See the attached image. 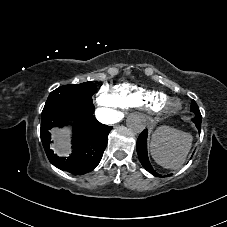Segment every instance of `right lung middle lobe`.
Returning a JSON list of instances; mask_svg holds the SVG:
<instances>
[{"label": "right lung middle lobe", "mask_w": 227, "mask_h": 227, "mask_svg": "<svg viewBox=\"0 0 227 227\" xmlns=\"http://www.w3.org/2000/svg\"><path fill=\"white\" fill-rule=\"evenodd\" d=\"M96 90L97 87L92 82L61 86L50 93L42 114L48 109L65 102L92 103V95Z\"/></svg>", "instance_id": "1"}]
</instances>
